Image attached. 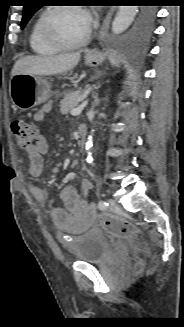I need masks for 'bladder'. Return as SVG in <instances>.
<instances>
[{
    "label": "bladder",
    "instance_id": "obj_1",
    "mask_svg": "<svg viewBox=\"0 0 184 327\" xmlns=\"http://www.w3.org/2000/svg\"><path fill=\"white\" fill-rule=\"evenodd\" d=\"M76 261L100 265L106 255L112 251L108 238L99 230H88L75 237L67 247Z\"/></svg>",
    "mask_w": 184,
    "mask_h": 327
}]
</instances>
